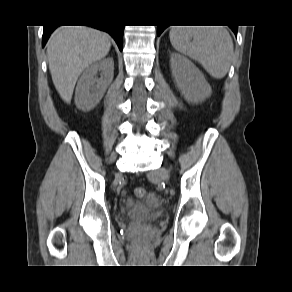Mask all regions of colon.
I'll use <instances>...</instances> for the list:
<instances>
[{"instance_id":"colon-1","label":"colon","mask_w":292,"mask_h":292,"mask_svg":"<svg viewBox=\"0 0 292 292\" xmlns=\"http://www.w3.org/2000/svg\"><path fill=\"white\" fill-rule=\"evenodd\" d=\"M134 194L138 198H143L147 194V190L144 187H136L134 189Z\"/></svg>"}]
</instances>
